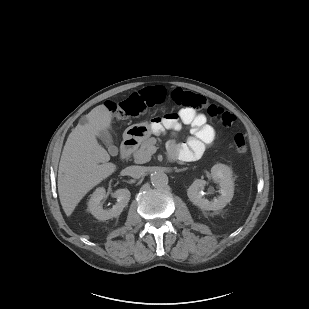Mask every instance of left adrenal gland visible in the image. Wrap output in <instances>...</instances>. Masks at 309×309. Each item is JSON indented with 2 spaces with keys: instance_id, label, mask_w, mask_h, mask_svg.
Returning <instances> with one entry per match:
<instances>
[{
  "instance_id": "1",
  "label": "left adrenal gland",
  "mask_w": 309,
  "mask_h": 309,
  "mask_svg": "<svg viewBox=\"0 0 309 309\" xmlns=\"http://www.w3.org/2000/svg\"><path fill=\"white\" fill-rule=\"evenodd\" d=\"M187 168H182V169H177V168H175V172H180V171H184V170H186Z\"/></svg>"
}]
</instances>
